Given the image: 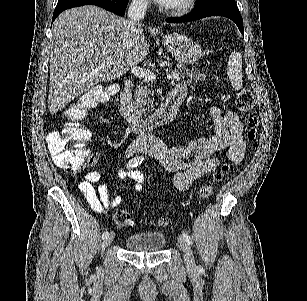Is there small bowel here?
<instances>
[{
  "mask_svg": "<svg viewBox=\"0 0 307 301\" xmlns=\"http://www.w3.org/2000/svg\"><path fill=\"white\" fill-rule=\"evenodd\" d=\"M175 90L185 95L184 86L179 85ZM211 115L214 127L211 138H200L187 146L173 148L166 147L158 140L145 141L144 138H140L131 145L128 153L130 156L143 151L151 153L166 170L175 174L174 186L179 190H186L194 180L217 170L220 160L214 157L216 153L227 150V156L234 164H239L243 160L244 126L238 115L232 111L221 113L217 108L212 109ZM119 177L131 178L135 181L134 190H142L144 176L134 167L126 166L120 169ZM100 181L101 174L91 171L79 185L87 203L97 213H101L107 207H116L122 202L120 196L110 198L107 185Z\"/></svg>",
  "mask_w": 307,
  "mask_h": 301,
  "instance_id": "1",
  "label": "small bowel"
}]
</instances>
